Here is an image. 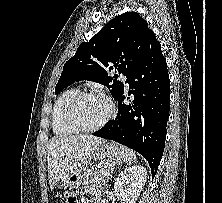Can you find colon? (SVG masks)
I'll return each mask as SVG.
<instances>
[{"label":"colon","mask_w":222,"mask_h":203,"mask_svg":"<svg viewBox=\"0 0 222 203\" xmlns=\"http://www.w3.org/2000/svg\"><path fill=\"white\" fill-rule=\"evenodd\" d=\"M67 203H73V197L72 196L68 197Z\"/></svg>","instance_id":"colon-1"}]
</instances>
